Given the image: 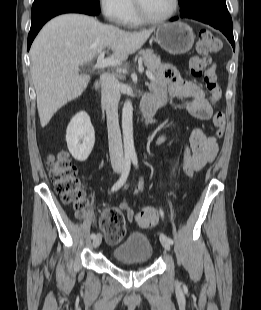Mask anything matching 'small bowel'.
<instances>
[{"instance_id": "1", "label": "small bowel", "mask_w": 261, "mask_h": 310, "mask_svg": "<svg viewBox=\"0 0 261 310\" xmlns=\"http://www.w3.org/2000/svg\"><path fill=\"white\" fill-rule=\"evenodd\" d=\"M151 88L152 95L162 101L168 97L184 100L188 113L197 119L207 120L212 114V107L201 86L183 79L171 65L164 64L157 69L156 79ZM164 139V134H161L157 139V144L162 143ZM190 147L192 149V168L200 170L217 155L218 141L215 137L207 136L201 129L196 128L190 135ZM138 187L144 189L143 179L139 180ZM119 208L125 212L128 221L135 220V212L128 203L122 202Z\"/></svg>"}]
</instances>
